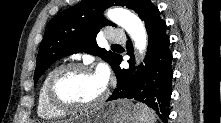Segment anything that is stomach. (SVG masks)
Returning a JSON list of instances; mask_svg holds the SVG:
<instances>
[{
    "label": "stomach",
    "mask_w": 221,
    "mask_h": 123,
    "mask_svg": "<svg viewBox=\"0 0 221 123\" xmlns=\"http://www.w3.org/2000/svg\"><path fill=\"white\" fill-rule=\"evenodd\" d=\"M137 107L130 101L118 99L84 112L69 123H137Z\"/></svg>",
    "instance_id": "1"
}]
</instances>
